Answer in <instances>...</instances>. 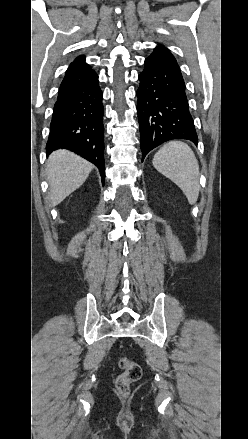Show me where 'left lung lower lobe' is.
I'll return each mask as SVG.
<instances>
[{"label": "left lung lower lobe", "mask_w": 248, "mask_h": 439, "mask_svg": "<svg viewBox=\"0 0 248 439\" xmlns=\"http://www.w3.org/2000/svg\"><path fill=\"white\" fill-rule=\"evenodd\" d=\"M144 64L137 90L142 161L152 149L168 140L198 143L185 83L174 56L159 45Z\"/></svg>", "instance_id": "1"}]
</instances>
